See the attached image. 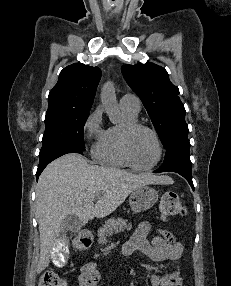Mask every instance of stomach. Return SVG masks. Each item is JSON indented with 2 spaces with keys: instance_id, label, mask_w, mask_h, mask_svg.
Segmentation results:
<instances>
[{
  "instance_id": "1",
  "label": "stomach",
  "mask_w": 231,
  "mask_h": 286,
  "mask_svg": "<svg viewBox=\"0 0 231 286\" xmlns=\"http://www.w3.org/2000/svg\"><path fill=\"white\" fill-rule=\"evenodd\" d=\"M158 200L157 191L147 185L131 192L129 204L135 213L143 212L155 205Z\"/></svg>"
}]
</instances>
